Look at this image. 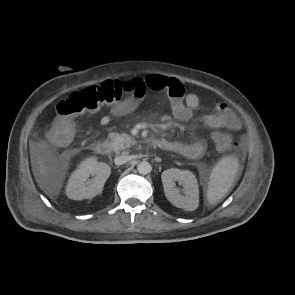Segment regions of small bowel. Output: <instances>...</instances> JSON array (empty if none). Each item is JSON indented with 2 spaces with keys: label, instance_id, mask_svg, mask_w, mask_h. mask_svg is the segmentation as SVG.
Segmentation results:
<instances>
[{
  "label": "small bowel",
  "instance_id": "1",
  "mask_svg": "<svg viewBox=\"0 0 295 295\" xmlns=\"http://www.w3.org/2000/svg\"><path fill=\"white\" fill-rule=\"evenodd\" d=\"M135 84L134 93L113 105L107 115L101 118L103 126L108 125L112 118L125 116L138 108L148 90L164 91L170 100L172 116L179 121H187L200 105V99L195 93H185L182 83L170 77L158 74H151L144 79H133ZM205 125L210 129L238 130L240 121L232 110L225 104L219 103L215 107V112L204 118ZM162 140L161 149L175 152L187 158H199L206 151L207 144L199 139L193 142L185 143L180 141Z\"/></svg>",
  "mask_w": 295,
  "mask_h": 295
}]
</instances>
